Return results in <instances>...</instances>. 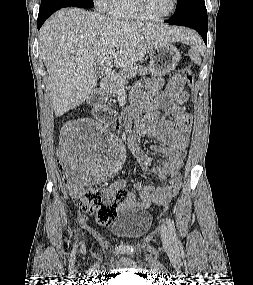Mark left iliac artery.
<instances>
[{"label":"left iliac artery","instance_id":"44dca946","mask_svg":"<svg viewBox=\"0 0 253 285\" xmlns=\"http://www.w3.org/2000/svg\"><path fill=\"white\" fill-rule=\"evenodd\" d=\"M166 222H167V227L169 229L170 237L173 243L177 244L176 231H175L173 221L170 218H167Z\"/></svg>","mask_w":253,"mask_h":285}]
</instances>
